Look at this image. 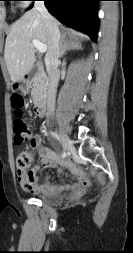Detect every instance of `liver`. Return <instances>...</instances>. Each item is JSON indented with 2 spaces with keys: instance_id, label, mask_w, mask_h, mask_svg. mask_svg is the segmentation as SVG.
Listing matches in <instances>:
<instances>
[{
  "instance_id": "obj_1",
  "label": "liver",
  "mask_w": 133,
  "mask_h": 253,
  "mask_svg": "<svg viewBox=\"0 0 133 253\" xmlns=\"http://www.w3.org/2000/svg\"><path fill=\"white\" fill-rule=\"evenodd\" d=\"M34 39L45 44L47 50L49 49L45 21L35 8L26 12L12 25L6 38L4 59L14 83L26 75L34 65L35 50L32 44Z\"/></svg>"
}]
</instances>
